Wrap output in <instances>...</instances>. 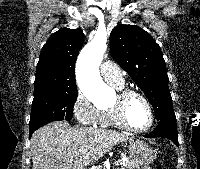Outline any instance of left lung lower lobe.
Masks as SVG:
<instances>
[{"mask_svg":"<svg viewBox=\"0 0 200 169\" xmlns=\"http://www.w3.org/2000/svg\"><path fill=\"white\" fill-rule=\"evenodd\" d=\"M144 137H165L172 140L176 145H178L176 121L161 120L159 121L158 126L151 133L144 135Z\"/></svg>","mask_w":200,"mask_h":169,"instance_id":"left-lung-lower-lobe-1","label":"left lung lower lobe"}]
</instances>
